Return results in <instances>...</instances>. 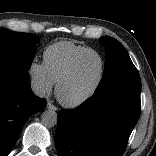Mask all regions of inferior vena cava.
<instances>
[{
  "label": "inferior vena cava",
  "instance_id": "602c4592",
  "mask_svg": "<svg viewBox=\"0 0 156 156\" xmlns=\"http://www.w3.org/2000/svg\"><path fill=\"white\" fill-rule=\"evenodd\" d=\"M31 89L33 93L38 97H44L46 95L45 85L37 80L31 81Z\"/></svg>",
  "mask_w": 156,
  "mask_h": 156
}]
</instances>
